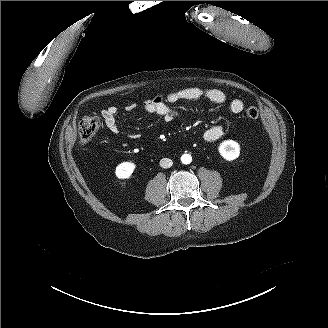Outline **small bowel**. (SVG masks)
Instances as JSON below:
<instances>
[{
    "instance_id": "obj_1",
    "label": "small bowel",
    "mask_w": 328,
    "mask_h": 328,
    "mask_svg": "<svg viewBox=\"0 0 328 328\" xmlns=\"http://www.w3.org/2000/svg\"><path fill=\"white\" fill-rule=\"evenodd\" d=\"M199 99H207L214 104L226 105L234 114H239L244 110V103L242 100L237 98L229 100L226 94L219 89L200 87H188L165 95H158L154 98L145 100L142 107L146 112L160 117L164 122H170L178 115L177 111L172 106L174 103L182 100L195 101ZM136 107V103H129L125 107V110L126 112H133ZM101 115L107 129L117 134L119 132L117 122L118 108L116 106H109L102 110ZM222 135V127L216 125L205 130L203 139L207 142H214L221 138ZM130 138H136V135H130Z\"/></svg>"
}]
</instances>
